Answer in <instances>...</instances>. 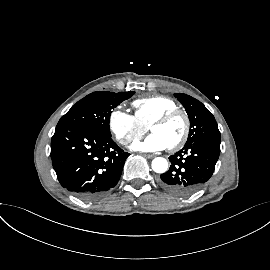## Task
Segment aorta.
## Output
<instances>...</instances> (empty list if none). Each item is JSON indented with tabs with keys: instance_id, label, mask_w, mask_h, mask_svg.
<instances>
[{
	"instance_id": "762f6f07",
	"label": "aorta",
	"mask_w": 270,
	"mask_h": 270,
	"mask_svg": "<svg viewBox=\"0 0 270 270\" xmlns=\"http://www.w3.org/2000/svg\"><path fill=\"white\" fill-rule=\"evenodd\" d=\"M152 169L156 173H164L168 169V162L163 157H156L152 161Z\"/></svg>"
}]
</instances>
